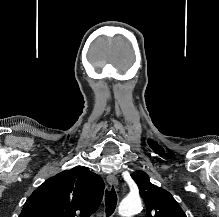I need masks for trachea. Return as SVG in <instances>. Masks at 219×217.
I'll list each match as a JSON object with an SVG mask.
<instances>
[{
    "instance_id": "1",
    "label": "trachea",
    "mask_w": 219,
    "mask_h": 217,
    "mask_svg": "<svg viewBox=\"0 0 219 217\" xmlns=\"http://www.w3.org/2000/svg\"><path fill=\"white\" fill-rule=\"evenodd\" d=\"M105 205H106V209H105L106 216H111L115 211L117 205V194L115 192L114 187H112L110 191L106 189Z\"/></svg>"
}]
</instances>
